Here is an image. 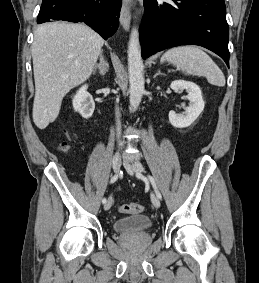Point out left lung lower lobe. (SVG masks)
Returning <instances> with one entry per match:
<instances>
[{
	"label": "left lung lower lobe",
	"mask_w": 259,
	"mask_h": 283,
	"mask_svg": "<svg viewBox=\"0 0 259 283\" xmlns=\"http://www.w3.org/2000/svg\"><path fill=\"white\" fill-rule=\"evenodd\" d=\"M174 1V0H173ZM140 26L142 57L179 45H199L218 54L229 67V29L224 0H144Z\"/></svg>",
	"instance_id": "obj_1"
}]
</instances>
